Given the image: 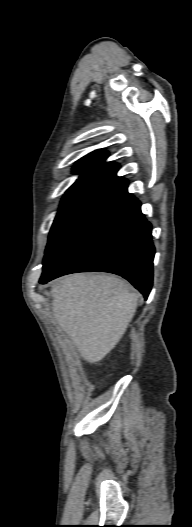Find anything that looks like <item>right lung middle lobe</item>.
I'll list each match as a JSON object with an SVG mask.
<instances>
[{"instance_id": "obj_1", "label": "right lung middle lobe", "mask_w": 192, "mask_h": 527, "mask_svg": "<svg viewBox=\"0 0 192 527\" xmlns=\"http://www.w3.org/2000/svg\"><path fill=\"white\" fill-rule=\"evenodd\" d=\"M106 183L89 181L73 184L65 193L61 208L50 230L45 256L51 251L58 239L86 208L90 201L99 193Z\"/></svg>"}]
</instances>
